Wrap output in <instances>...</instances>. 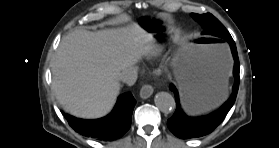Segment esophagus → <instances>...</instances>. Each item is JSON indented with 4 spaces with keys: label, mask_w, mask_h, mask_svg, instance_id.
Returning a JSON list of instances; mask_svg holds the SVG:
<instances>
[{
    "label": "esophagus",
    "mask_w": 279,
    "mask_h": 148,
    "mask_svg": "<svg viewBox=\"0 0 279 148\" xmlns=\"http://www.w3.org/2000/svg\"><path fill=\"white\" fill-rule=\"evenodd\" d=\"M153 92H154V88L151 85L149 84L144 85L140 90V97L142 99H147L153 94Z\"/></svg>",
    "instance_id": "1"
}]
</instances>
